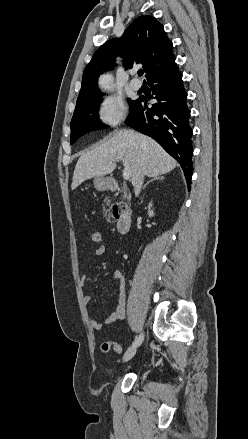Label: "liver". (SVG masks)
I'll return each mask as SVG.
<instances>
[{
	"instance_id": "1",
	"label": "liver",
	"mask_w": 248,
	"mask_h": 439,
	"mask_svg": "<svg viewBox=\"0 0 248 439\" xmlns=\"http://www.w3.org/2000/svg\"><path fill=\"white\" fill-rule=\"evenodd\" d=\"M119 159L130 166L132 184L142 172L148 177H157L177 166L175 159L152 138L130 129H121L80 156L73 173L72 190L87 179L112 173L116 168L114 162Z\"/></svg>"
}]
</instances>
